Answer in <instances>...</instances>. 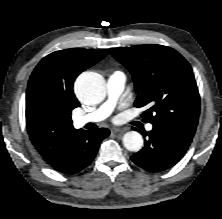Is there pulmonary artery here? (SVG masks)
I'll list each match as a JSON object with an SVG mask.
<instances>
[{
	"mask_svg": "<svg viewBox=\"0 0 222 219\" xmlns=\"http://www.w3.org/2000/svg\"><path fill=\"white\" fill-rule=\"evenodd\" d=\"M125 80V75L122 72H112L107 79V100L90 113L74 116V125L81 127L88 123H97L106 119L113 111L116 101L124 89ZM147 130H152L151 124L147 125Z\"/></svg>",
	"mask_w": 222,
	"mask_h": 219,
	"instance_id": "e3ab8cb5",
	"label": "pulmonary artery"
}]
</instances>
